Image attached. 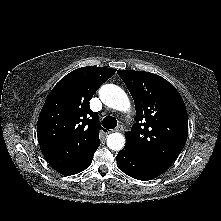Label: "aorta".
<instances>
[{"label":"aorta","instance_id":"762f6f07","mask_svg":"<svg viewBox=\"0 0 221 221\" xmlns=\"http://www.w3.org/2000/svg\"><path fill=\"white\" fill-rule=\"evenodd\" d=\"M101 101L113 109L129 111L130 101L125 91L117 85L106 84L99 90ZM107 146L113 151H120L125 146V136L121 133H111L107 137Z\"/></svg>","mask_w":221,"mask_h":221}]
</instances>
